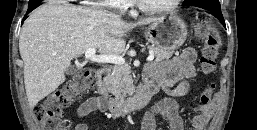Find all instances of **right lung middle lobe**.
I'll list each match as a JSON object with an SVG mask.
<instances>
[{"mask_svg": "<svg viewBox=\"0 0 257 130\" xmlns=\"http://www.w3.org/2000/svg\"><path fill=\"white\" fill-rule=\"evenodd\" d=\"M36 2H41V1H37V0H30V1H29V5H28V6L35 7V6H37V5H38V3H36Z\"/></svg>", "mask_w": 257, "mask_h": 130, "instance_id": "right-lung-middle-lobe-1", "label": "right lung middle lobe"}]
</instances>
